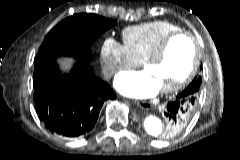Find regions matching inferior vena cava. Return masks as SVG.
<instances>
[{
	"label": "inferior vena cava",
	"mask_w": 240,
	"mask_h": 160,
	"mask_svg": "<svg viewBox=\"0 0 240 160\" xmlns=\"http://www.w3.org/2000/svg\"><path fill=\"white\" fill-rule=\"evenodd\" d=\"M102 73L105 78H110L115 73V69L105 68V69H103Z\"/></svg>",
	"instance_id": "1"
}]
</instances>
